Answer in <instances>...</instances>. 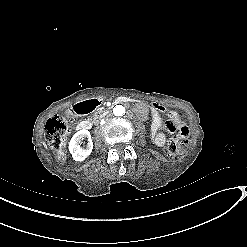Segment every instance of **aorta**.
Instances as JSON below:
<instances>
[{
	"instance_id": "1",
	"label": "aorta",
	"mask_w": 247,
	"mask_h": 247,
	"mask_svg": "<svg viewBox=\"0 0 247 247\" xmlns=\"http://www.w3.org/2000/svg\"><path fill=\"white\" fill-rule=\"evenodd\" d=\"M113 114L115 116H123L125 114V107L122 105H116L113 109Z\"/></svg>"
}]
</instances>
